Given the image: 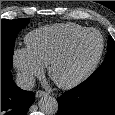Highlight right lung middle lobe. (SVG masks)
<instances>
[{
    "label": "right lung middle lobe",
    "instance_id": "right-lung-middle-lobe-1",
    "mask_svg": "<svg viewBox=\"0 0 115 115\" xmlns=\"http://www.w3.org/2000/svg\"><path fill=\"white\" fill-rule=\"evenodd\" d=\"M29 21V18L1 20V69L12 68L16 35Z\"/></svg>",
    "mask_w": 115,
    "mask_h": 115
}]
</instances>
